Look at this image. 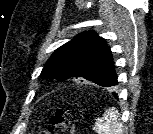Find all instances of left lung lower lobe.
I'll use <instances>...</instances> for the list:
<instances>
[{
  "instance_id": "0a47b994",
  "label": "left lung lower lobe",
  "mask_w": 153,
  "mask_h": 134,
  "mask_svg": "<svg viewBox=\"0 0 153 134\" xmlns=\"http://www.w3.org/2000/svg\"><path fill=\"white\" fill-rule=\"evenodd\" d=\"M104 87H107V86H104ZM112 94L117 98L116 94L114 92H112Z\"/></svg>"
}]
</instances>
